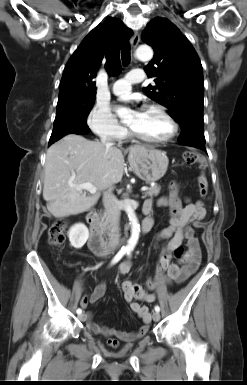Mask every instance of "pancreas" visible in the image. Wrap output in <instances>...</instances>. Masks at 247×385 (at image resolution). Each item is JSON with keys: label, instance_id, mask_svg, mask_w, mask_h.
Here are the masks:
<instances>
[{"label": "pancreas", "instance_id": "1", "mask_svg": "<svg viewBox=\"0 0 247 385\" xmlns=\"http://www.w3.org/2000/svg\"><path fill=\"white\" fill-rule=\"evenodd\" d=\"M160 190H161V187L158 186V185H154L150 188H148L146 191H145V196H149V197H154V196H158V194L160 193ZM102 220H103V225L104 226H108V223H109V218L107 217V215H104L102 217Z\"/></svg>", "mask_w": 247, "mask_h": 385}]
</instances>
